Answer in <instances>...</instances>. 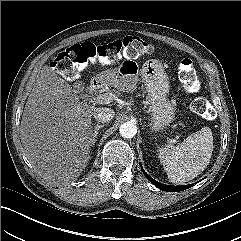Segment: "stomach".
<instances>
[{"mask_svg":"<svg viewBox=\"0 0 241 241\" xmlns=\"http://www.w3.org/2000/svg\"><path fill=\"white\" fill-rule=\"evenodd\" d=\"M109 75L119 89H128L141 77L147 92L152 130L160 131L174 120L175 110L167 99L169 78L161 63L148 60L140 68L134 61H125Z\"/></svg>","mask_w":241,"mask_h":241,"instance_id":"stomach-1","label":"stomach"}]
</instances>
